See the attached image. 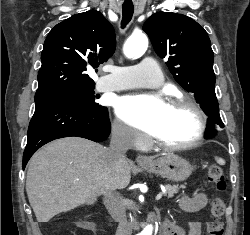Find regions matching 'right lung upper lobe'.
Masks as SVG:
<instances>
[{"label":"right lung upper lobe","mask_w":250,"mask_h":235,"mask_svg":"<svg viewBox=\"0 0 250 235\" xmlns=\"http://www.w3.org/2000/svg\"><path fill=\"white\" fill-rule=\"evenodd\" d=\"M115 47L113 26L96 10L57 24L44 42L35 98L95 86L87 66L107 61Z\"/></svg>","instance_id":"cb5924a9"}]
</instances>
